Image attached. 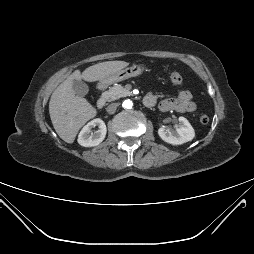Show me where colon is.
I'll use <instances>...</instances> for the list:
<instances>
[{
	"instance_id": "colon-1",
	"label": "colon",
	"mask_w": 254,
	"mask_h": 254,
	"mask_svg": "<svg viewBox=\"0 0 254 254\" xmlns=\"http://www.w3.org/2000/svg\"><path fill=\"white\" fill-rule=\"evenodd\" d=\"M168 77L172 83L177 85L182 84L184 81L183 76L175 71L169 72ZM199 120L202 124H206L209 122V116L205 113H201L199 116Z\"/></svg>"
}]
</instances>
